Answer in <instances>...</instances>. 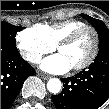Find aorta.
I'll return each instance as SVG.
<instances>
[{"label": "aorta", "instance_id": "aorta-1", "mask_svg": "<svg viewBox=\"0 0 109 109\" xmlns=\"http://www.w3.org/2000/svg\"><path fill=\"white\" fill-rule=\"evenodd\" d=\"M62 83L58 78H51L47 82V89L52 94H58L61 91Z\"/></svg>", "mask_w": 109, "mask_h": 109}]
</instances>
